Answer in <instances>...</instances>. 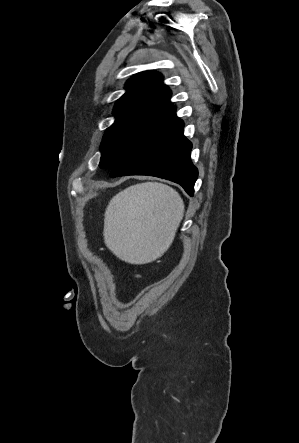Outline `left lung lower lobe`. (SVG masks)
<instances>
[{"mask_svg": "<svg viewBox=\"0 0 299 443\" xmlns=\"http://www.w3.org/2000/svg\"><path fill=\"white\" fill-rule=\"evenodd\" d=\"M183 127L173 106L113 165L110 176H156L180 184L193 196L198 171L190 160L192 144Z\"/></svg>", "mask_w": 299, "mask_h": 443, "instance_id": "obj_1", "label": "left lung lower lobe"}]
</instances>
